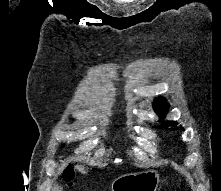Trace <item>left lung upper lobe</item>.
Wrapping results in <instances>:
<instances>
[{
    "instance_id": "obj_1",
    "label": "left lung upper lobe",
    "mask_w": 221,
    "mask_h": 191,
    "mask_svg": "<svg viewBox=\"0 0 221 191\" xmlns=\"http://www.w3.org/2000/svg\"><path fill=\"white\" fill-rule=\"evenodd\" d=\"M153 108L155 112H157V114H159L163 118L164 115L167 114L168 112L169 104L166 103L163 98H156L153 102ZM169 125H177V122L175 121L164 122L163 127H168Z\"/></svg>"
}]
</instances>
